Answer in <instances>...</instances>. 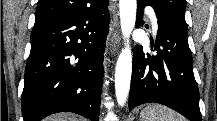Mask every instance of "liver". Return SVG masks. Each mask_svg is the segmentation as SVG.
<instances>
[{
    "label": "liver",
    "instance_id": "1",
    "mask_svg": "<svg viewBox=\"0 0 217 121\" xmlns=\"http://www.w3.org/2000/svg\"><path fill=\"white\" fill-rule=\"evenodd\" d=\"M45 121H77V120L72 114L60 113L46 118Z\"/></svg>",
    "mask_w": 217,
    "mask_h": 121
}]
</instances>
